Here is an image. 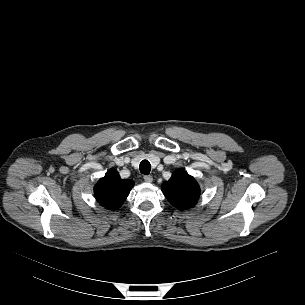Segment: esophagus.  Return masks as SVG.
I'll return each instance as SVG.
<instances>
[{
  "mask_svg": "<svg viewBox=\"0 0 305 305\" xmlns=\"http://www.w3.org/2000/svg\"><path fill=\"white\" fill-rule=\"evenodd\" d=\"M144 181L151 183L153 181V177L151 175H144Z\"/></svg>",
  "mask_w": 305,
  "mask_h": 305,
  "instance_id": "esophagus-1",
  "label": "esophagus"
}]
</instances>
